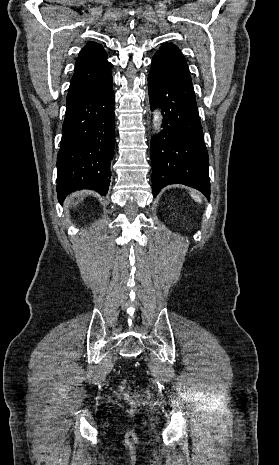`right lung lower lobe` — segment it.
<instances>
[{
  "instance_id": "1",
  "label": "right lung lower lobe",
  "mask_w": 279,
  "mask_h": 465,
  "mask_svg": "<svg viewBox=\"0 0 279 465\" xmlns=\"http://www.w3.org/2000/svg\"><path fill=\"white\" fill-rule=\"evenodd\" d=\"M110 74L89 94L66 107L57 157V195L63 202L76 190L105 196L115 144V96Z\"/></svg>"
}]
</instances>
